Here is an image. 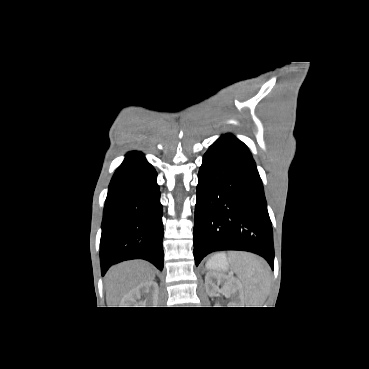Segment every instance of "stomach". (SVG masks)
<instances>
[{"mask_svg": "<svg viewBox=\"0 0 369 369\" xmlns=\"http://www.w3.org/2000/svg\"><path fill=\"white\" fill-rule=\"evenodd\" d=\"M206 267L218 271H226L228 269V263L226 260V255L220 253L213 256L206 264Z\"/></svg>", "mask_w": 369, "mask_h": 369, "instance_id": "1", "label": "stomach"}]
</instances>
